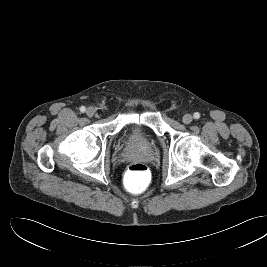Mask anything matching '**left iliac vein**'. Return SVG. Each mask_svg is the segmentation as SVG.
Returning a JSON list of instances; mask_svg holds the SVG:
<instances>
[{
    "label": "left iliac vein",
    "instance_id": "obj_1",
    "mask_svg": "<svg viewBox=\"0 0 267 267\" xmlns=\"http://www.w3.org/2000/svg\"><path fill=\"white\" fill-rule=\"evenodd\" d=\"M193 120V117L191 114H185L182 118L183 123L190 124Z\"/></svg>",
    "mask_w": 267,
    "mask_h": 267
}]
</instances>
